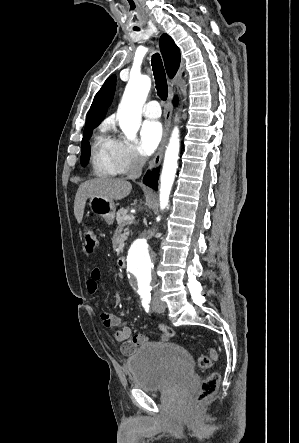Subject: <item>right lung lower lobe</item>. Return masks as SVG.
<instances>
[{"label": "right lung lower lobe", "mask_w": 299, "mask_h": 443, "mask_svg": "<svg viewBox=\"0 0 299 443\" xmlns=\"http://www.w3.org/2000/svg\"><path fill=\"white\" fill-rule=\"evenodd\" d=\"M174 102H177V99L174 100ZM159 178L158 170H154L152 172H148L146 176L143 179L144 184L147 186L157 189V181Z\"/></svg>", "instance_id": "right-lung-lower-lobe-1"}]
</instances>
